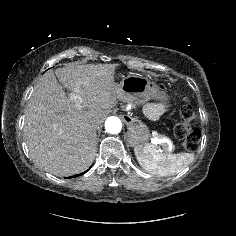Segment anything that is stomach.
<instances>
[{
  "mask_svg": "<svg viewBox=\"0 0 236 236\" xmlns=\"http://www.w3.org/2000/svg\"><path fill=\"white\" fill-rule=\"evenodd\" d=\"M116 89L125 96V101L134 105H144L152 99L161 102L168 100L157 84L134 73L124 76L120 83H116ZM126 120L129 126V143L135 147L146 144L149 138L146 126L137 118L129 117Z\"/></svg>",
  "mask_w": 236,
  "mask_h": 236,
  "instance_id": "obj_1",
  "label": "stomach"
}]
</instances>
